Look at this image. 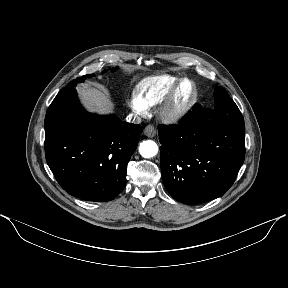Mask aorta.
Masks as SVG:
<instances>
[{
	"instance_id": "obj_1",
	"label": "aorta",
	"mask_w": 288,
	"mask_h": 288,
	"mask_svg": "<svg viewBox=\"0 0 288 288\" xmlns=\"http://www.w3.org/2000/svg\"><path fill=\"white\" fill-rule=\"evenodd\" d=\"M158 152L157 144L152 140H146L140 143L139 153L144 158L154 157Z\"/></svg>"
}]
</instances>
